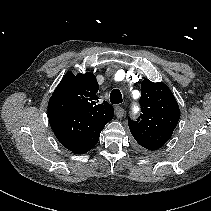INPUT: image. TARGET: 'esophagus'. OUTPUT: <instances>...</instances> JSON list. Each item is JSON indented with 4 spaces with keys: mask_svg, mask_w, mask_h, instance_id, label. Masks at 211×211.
<instances>
[{
    "mask_svg": "<svg viewBox=\"0 0 211 211\" xmlns=\"http://www.w3.org/2000/svg\"><path fill=\"white\" fill-rule=\"evenodd\" d=\"M115 115L118 117V118H122L123 115H124V109L120 106H116L115 107Z\"/></svg>",
    "mask_w": 211,
    "mask_h": 211,
    "instance_id": "obj_1",
    "label": "esophagus"
}]
</instances>
